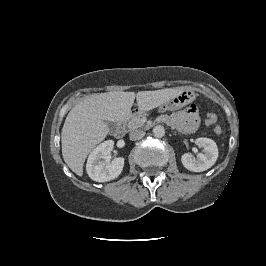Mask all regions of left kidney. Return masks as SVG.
<instances>
[{
  "instance_id": "1",
  "label": "left kidney",
  "mask_w": 266,
  "mask_h": 266,
  "mask_svg": "<svg viewBox=\"0 0 266 266\" xmlns=\"http://www.w3.org/2000/svg\"><path fill=\"white\" fill-rule=\"evenodd\" d=\"M198 147L204 148L202 153L194 158L191 154L185 153L181 157L183 166L193 172H202L214 165L218 158L216 143L210 138L200 137L195 140Z\"/></svg>"
}]
</instances>
